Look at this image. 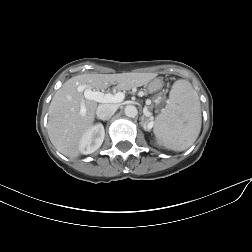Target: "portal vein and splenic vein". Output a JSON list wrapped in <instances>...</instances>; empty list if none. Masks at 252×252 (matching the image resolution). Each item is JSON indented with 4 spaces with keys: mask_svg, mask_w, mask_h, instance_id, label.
I'll use <instances>...</instances> for the list:
<instances>
[{
    "mask_svg": "<svg viewBox=\"0 0 252 252\" xmlns=\"http://www.w3.org/2000/svg\"><path fill=\"white\" fill-rule=\"evenodd\" d=\"M79 92H84V97L89 100H94L99 103H119L122 102L125 98L124 93L118 92L115 95L113 94H104L100 91H92L91 88H89L86 85H80L78 87ZM145 114L148 113L147 109L144 110ZM80 113L84 115L86 113V110L84 107L81 108Z\"/></svg>",
    "mask_w": 252,
    "mask_h": 252,
    "instance_id": "18ae733b",
    "label": "portal vein and splenic vein"
}]
</instances>
